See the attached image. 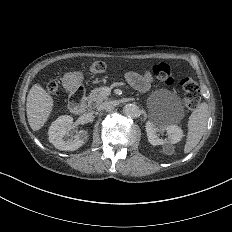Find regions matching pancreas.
<instances>
[{
    "mask_svg": "<svg viewBox=\"0 0 232 232\" xmlns=\"http://www.w3.org/2000/svg\"><path fill=\"white\" fill-rule=\"evenodd\" d=\"M108 98V95L105 92L104 87H99L93 89L89 96L86 98L88 107L89 108H94L98 106L101 102L106 100Z\"/></svg>",
    "mask_w": 232,
    "mask_h": 232,
    "instance_id": "pancreas-1",
    "label": "pancreas"
}]
</instances>
